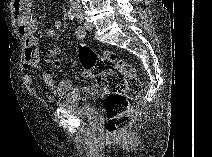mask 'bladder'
Listing matches in <instances>:
<instances>
[{
	"label": "bladder",
	"instance_id": "obj_1",
	"mask_svg": "<svg viewBox=\"0 0 212 157\" xmlns=\"http://www.w3.org/2000/svg\"><path fill=\"white\" fill-rule=\"evenodd\" d=\"M105 98V93L93 86H78L71 89L57 105L87 120L98 118V104Z\"/></svg>",
	"mask_w": 212,
	"mask_h": 157
}]
</instances>
